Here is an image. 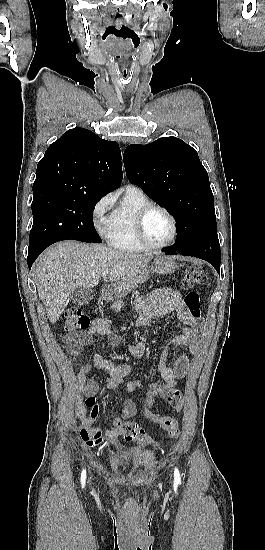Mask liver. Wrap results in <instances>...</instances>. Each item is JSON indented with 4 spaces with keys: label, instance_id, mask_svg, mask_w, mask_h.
<instances>
[{
    "label": "liver",
    "instance_id": "liver-1",
    "mask_svg": "<svg viewBox=\"0 0 265 550\" xmlns=\"http://www.w3.org/2000/svg\"><path fill=\"white\" fill-rule=\"evenodd\" d=\"M152 254H128L103 244L62 241L47 249L36 260L35 284L46 314L55 324L78 288H93L102 274L106 282H117L116 293L129 283L152 260Z\"/></svg>",
    "mask_w": 265,
    "mask_h": 550
}]
</instances>
